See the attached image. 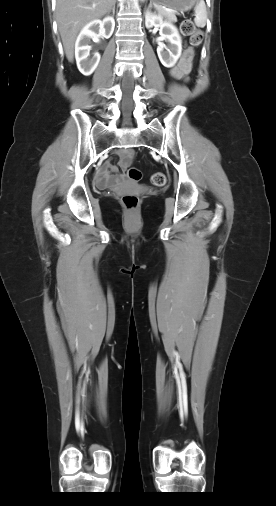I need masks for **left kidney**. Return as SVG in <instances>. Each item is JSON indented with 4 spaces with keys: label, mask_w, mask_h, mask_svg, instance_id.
Returning <instances> with one entry per match:
<instances>
[{
    "label": "left kidney",
    "mask_w": 276,
    "mask_h": 506,
    "mask_svg": "<svg viewBox=\"0 0 276 506\" xmlns=\"http://www.w3.org/2000/svg\"><path fill=\"white\" fill-rule=\"evenodd\" d=\"M145 25L147 28H160V35L167 45L160 42L157 47V54L165 67H173L182 52V40L177 28L170 22L163 21L160 15L146 12Z\"/></svg>",
    "instance_id": "5707ae66"
}]
</instances>
